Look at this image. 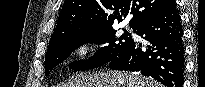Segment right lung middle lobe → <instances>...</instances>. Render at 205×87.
<instances>
[{
    "label": "right lung middle lobe",
    "instance_id": "obj_1",
    "mask_svg": "<svg viewBox=\"0 0 205 87\" xmlns=\"http://www.w3.org/2000/svg\"><path fill=\"white\" fill-rule=\"evenodd\" d=\"M130 38V33L125 29L124 34L117 36L113 28L77 32L63 37L49 44L45 56V75L47 76L49 71L68 57L74 49L89 42L95 44L108 42V45L102 47L89 60L75 61L69 67L73 70H89L102 66L108 63L129 42Z\"/></svg>",
    "mask_w": 205,
    "mask_h": 87
}]
</instances>
